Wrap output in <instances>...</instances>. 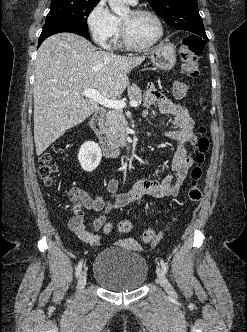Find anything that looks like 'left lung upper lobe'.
<instances>
[{
    "label": "left lung upper lobe",
    "mask_w": 247,
    "mask_h": 332,
    "mask_svg": "<svg viewBox=\"0 0 247 332\" xmlns=\"http://www.w3.org/2000/svg\"><path fill=\"white\" fill-rule=\"evenodd\" d=\"M152 8L174 28L208 39L196 0H147Z\"/></svg>",
    "instance_id": "obj_1"
}]
</instances>
